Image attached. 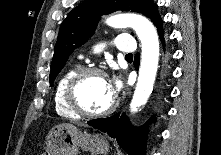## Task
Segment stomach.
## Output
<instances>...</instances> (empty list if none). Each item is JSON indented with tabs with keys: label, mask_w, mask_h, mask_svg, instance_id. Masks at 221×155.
Masks as SVG:
<instances>
[{
	"label": "stomach",
	"mask_w": 221,
	"mask_h": 155,
	"mask_svg": "<svg viewBox=\"0 0 221 155\" xmlns=\"http://www.w3.org/2000/svg\"><path fill=\"white\" fill-rule=\"evenodd\" d=\"M44 149L48 155H77L80 149L91 155H106L110 145L99 133L82 132L72 124H60L50 130Z\"/></svg>",
	"instance_id": "0dacf381"
}]
</instances>
